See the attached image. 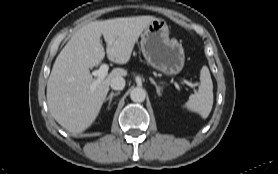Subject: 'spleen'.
Segmentation results:
<instances>
[{"mask_svg":"<svg viewBox=\"0 0 278 174\" xmlns=\"http://www.w3.org/2000/svg\"><path fill=\"white\" fill-rule=\"evenodd\" d=\"M213 106V83L207 66L200 71V86L198 92L190 95L185 107L197 112L202 118H207Z\"/></svg>","mask_w":278,"mask_h":174,"instance_id":"1","label":"spleen"}]
</instances>
